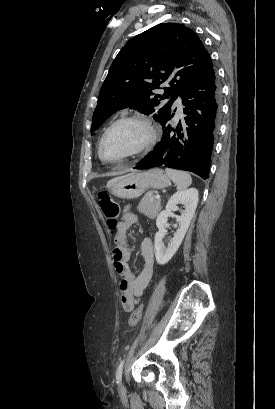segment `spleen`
Returning a JSON list of instances; mask_svg holds the SVG:
<instances>
[{
	"label": "spleen",
	"mask_w": 275,
	"mask_h": 409,
	"mask_svg": "<svg viewBox=\"0 0 275 409\" xmlns=\"http://www.w3.org/2000/svg\"><path fill=\"white\" fill-rule=\"evenodd\" d=\"M166 172L173 182H175L178 190H184L192 182V178L188 172H183V170H173V168H166Z\"/></svg>",
	"instance_id": "1"
}]
</instances>
